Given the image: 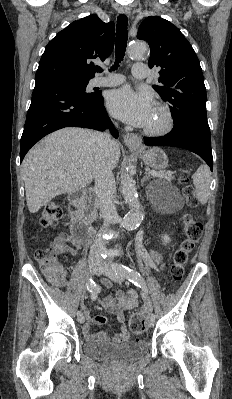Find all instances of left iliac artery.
Listing matches in <instances>:
<instances>
[{
  "label": "left iliac artery",
  "mask_w": 232,
  "mask_h": 399,
  "mask_svg": "<svg viewBox=\"0 0 232 399\" xmlns=\"http://www.w3.org/2000/svg\"><path fill=\"white\" fill-rule=\"evenodd\" d=\"M111 269L116 272V274L125 276L132 284L137 287H144L146 285L142 276L137 270L131 269L129 266H126L121 263H112L110 262ZM152 319L156 318V315L153 313L151 315Z\"/></svg>",
  "instance_id": "44dca946"
}]
</instances>
